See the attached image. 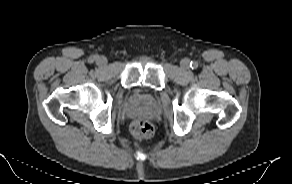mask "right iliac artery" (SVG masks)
I'll return each instance as SVG.
<instances>
[{"mask_svg": "<svg viewBox=\"0 0 292 184\" xmlns=\"http://www.w3.org/2000/svg\"><path fill=\"white\" fill-rule=\"evenodd\" d=\"M95 60V57L90 58V62H93Z\"/></svg>", "mask_w": 292, "mask_h": 184, "instance_id": "82829eb1", "label": "right iliac artery"}]
</instances>
